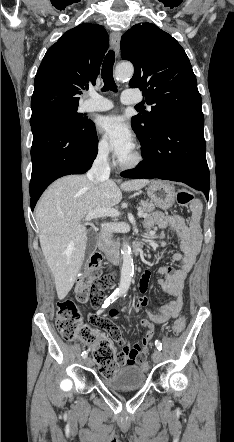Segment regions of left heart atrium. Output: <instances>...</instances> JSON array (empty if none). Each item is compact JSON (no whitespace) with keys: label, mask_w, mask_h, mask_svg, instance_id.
<instances>
[{"label":"left heart atrium","mask_w":234,"mask_h":442,"mask_svg":"<svg viewBox=\"0 0 234 442\" xmlns=\"http://www.w3.org/2000/svg\"><path fill=\"white\" fill-rule=\"evenodd\" d=\"M101 130L119 159L134 150L132 130L123 117L115 115L105 117L101 122Z\"/></svg>","instance_id":"1"}]
</instances>
